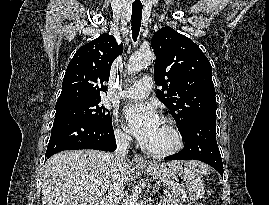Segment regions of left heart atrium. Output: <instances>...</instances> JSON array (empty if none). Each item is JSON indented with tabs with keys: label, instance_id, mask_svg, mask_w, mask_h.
I'll return each mask as SVG.
<instances>
[{
	"label": "left heart atrium",
	"instance_id": "39dd6f15",
	"mask_svg": "<svg viewBox=\"0 0 269 205\" xmlns=\"http://www.w3.org/2000/svg\"><path fill=\"white\" fill-rule=\"evenodd\" d=\"M126 129L143 144H148L158 131L161 118L152 103H133L125 107Z\"/></svg>",
	"mask_w": 269,
	"mask_h": 205
}]
</instances>
